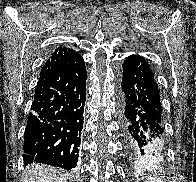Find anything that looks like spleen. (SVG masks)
Segmentation results:
<instances>
[{"label":"spleen","mask_w":196,"mask_h":182,"mask_svg":"<svg viewBox=\"0 0 196 182\" xmlns=\"http://www.w3.org/2000/svg\"><path fill=\"white\" fill-rule=\"evenodd\" d=\"M149 182H162V181L157 178H150Z\"/></svg>","instance_id":"3e777b00"}]
</instances>
